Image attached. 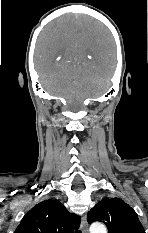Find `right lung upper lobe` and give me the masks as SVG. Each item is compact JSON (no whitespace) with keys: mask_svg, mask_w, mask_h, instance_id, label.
Here are the masks:
<instances>
[{"mask_svg":"<svg viewBox=\"0 0 148 233\" xmlns=\"http://www.w3.org/2000/svg\"><path fill=\"white\" fill-rule=\"evenodd\" d=\"M80 217L70 213L58 200L48 199L34 206L14 233H74Z\"/></svg>","mask_w":148,"mask_h":233,"instance_id":"cb5924a9","label":"right lung upper lobe"}]
</instances>
